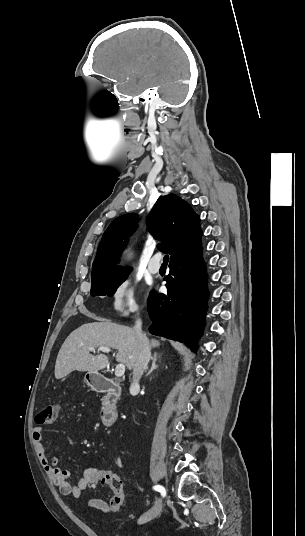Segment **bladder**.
<instances>
[{
    "mask_svg": "<svg viewBox=\"0 0 305 536\" xmlns=\"http://www.w3.org/2000/svg\"><path fill=\"white\" fill-rule=\"evenodd\" d=\"M120 531L118 528L115 527H107V534L108 536H120Z\"/></svg>",
    "mask_w": 305,
    "mask_h": 536,
    "instance_id": "bladder-1",
    "label": "bladder"
}]
</instances>
